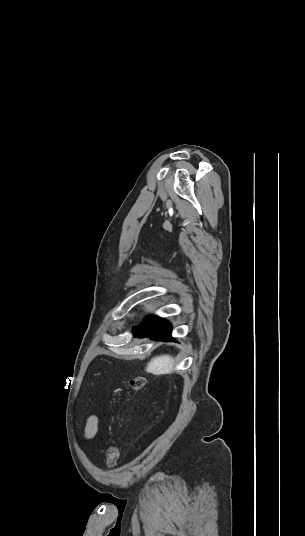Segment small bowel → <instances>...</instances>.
Instances as JSON below:
<instances>
[{
  "instance_id": "obj_1",
  "label": "small bowel",
  "mask_w": 305,
  "mask_h": 536,
  "mask_svg": "<svg viewBox=\"0 0 305 536\" xmlns=\"http://www.w3.org/2000/svg\"><path fill=\"white\" fill-rule=\"evenodd\" d=\"M98 432V418L90 416L86 422L84 435L87 439L93 438Z\"/></svg>"
}]
</instances>
